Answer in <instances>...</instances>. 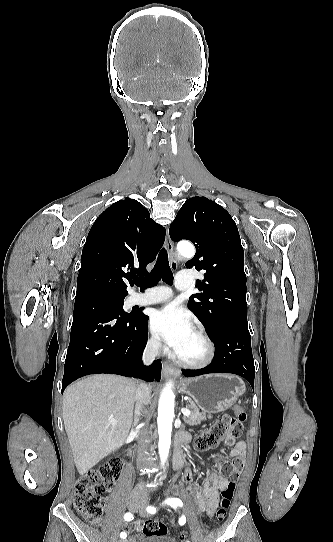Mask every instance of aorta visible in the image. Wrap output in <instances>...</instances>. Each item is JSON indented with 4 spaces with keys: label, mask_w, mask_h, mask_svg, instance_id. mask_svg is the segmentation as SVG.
<instances>
[{
    "label": "aorta",
    "mask_w": 333,
    "mask_h": 542,
    "mask_svg": "<svg viewBox=\"0 0 333 542\" xmlns=\"http://www.w3.org/2000/svg\"><path fill=\"white\" fill-rule=\"evenodd\" d=\"M177 250L181 256L192 258L194 248L191 244H178ZM173 382L169 380L166 388H163L158 404V434H159V456L162 466H164L171 444L172 422L174 418V394L172 392Z\"/></svg>",
    "instance_id": "obj_1"
}]
</instances>
